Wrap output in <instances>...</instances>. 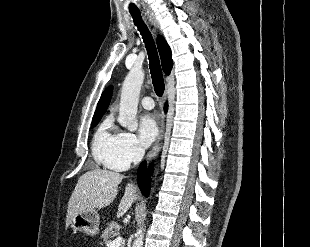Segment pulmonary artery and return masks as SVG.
Masks as SVG:
<instances>
[{
    "mask_svg": "<svg viewBox=\"0 0 310 247\" xmlns=\"http://www.w3.org/2000/svg\"><path fill=\"white\" fill-rule=\"evenodd\" d=\"M141 104L145 109H152L154 107V101L149 96L143 97L141 100Z\"/></svg>",
    "mask_w": 310,
    "mask_h": 247,
    "instance_id": "pulmonary-artery-1",
    "label": "pulmonary artery"
}]
</instances>
